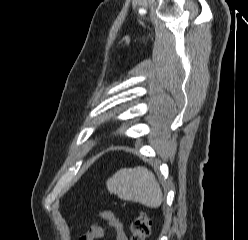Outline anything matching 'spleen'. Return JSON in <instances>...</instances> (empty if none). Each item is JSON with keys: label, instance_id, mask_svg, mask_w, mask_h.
Wrapping results in <instances>:
<instances>
[{"label": "spleen", "instance_id": "3e777b00", "mask_svg": "<svg viewBox=\"0 0 248 240\" xmlns=\"http://www.w3.org/2000/svg\"><path fill=\"white\" fill-rule=\"evenodd\" d=\"M107 189L125 201L158 208L163 194L154 174L146 167L123 168L106 182Z\"/></svg>", "mask_w": 248, "mask_h": 240}]
</instances>
